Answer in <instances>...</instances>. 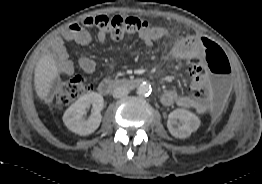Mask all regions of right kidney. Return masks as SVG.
Listing matches in <instances>:
<instances>
[{"instance_id":"ca27d5eb","label":"right kidney","mask_w":262,"mask_h":184,"mask_svg":"<svg viewBox=\"0 0 262 184\" xmlns=\"http://www.w3.org/2000/svg\"><path fill=\"white\" fill-rule=\"evenodd\" d=\"M92 105V114L87 120L83 118L86 108ZM104 107L103 97L91 92L81 96L64 113L63 122L72 132L86 136L93 133L100 125L102 116L101 110Z\"/></svg>"}]
</instances>
